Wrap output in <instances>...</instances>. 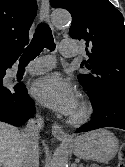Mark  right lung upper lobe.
I'll use <instances>...</instances> for the list:
<instances>
[{
	"label": "right lung upper lobe",
	"instance_id": "cb5924a9",
	"mask_svg": "<svg viewBox=\"0 0 125 167\" xmlns=\"http://www.w3.org/2000/svg\"><path fill=\"white\" fill-rule=\"evenodd\" d=\"M35 0H0V70L14 64L29 42Z\"/></svg>",
	"mask_w": 125,
	"mask_h": 167
}]
</instances>
